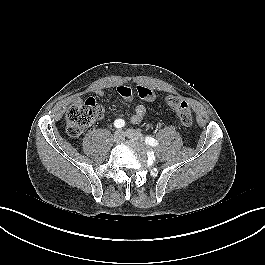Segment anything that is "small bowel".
<instances>
[{
  "instance_id": "1",
  "label": "small bowel",
  "mask_w": 265,
  "mask_h": 265,
  "mask_svg": "<svg viewBox=\"0 0 265 265\" xmlns=\"http://www.w3.org/2000/svg\"><path fill=\"white\" fill-rule=\"evenodd\" d=\"M118 93L127 101H132L133 95L132 91L129 87L126 86H119L117 88ZM98 95H103L102 90H97ZM146 114V107L142 104H139L135 108L134 114L130 117V121L134 124H138L142 121Z\"/></svg>"
}]
</instances>
